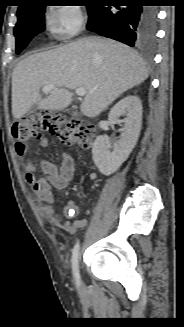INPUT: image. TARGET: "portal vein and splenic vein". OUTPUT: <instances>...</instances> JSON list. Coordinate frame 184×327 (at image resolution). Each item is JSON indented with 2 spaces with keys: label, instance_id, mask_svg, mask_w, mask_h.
Listing matches in <instances>:
<instances>
[{
  "label": "portal vein and splenic vein",
  "instance_id": "1",
  "mask_svg": "<svg viewBox=\"0 0 184 327\" xmlns=\"http://www.w3.org/2000/svg\"><path fill=\"white\" fill-rule=\"evenodd\" d=\"M56 89V86L53 85V84H49V85H46L42 88V91L47 93V92H50L52 90ZM75 92L78 96L82 97L86 94V90L84 88H81V87H77L75 88Z\"/></svg>",
  "mask_w": 184,
  "mask_h": 327
}]
</instances>
